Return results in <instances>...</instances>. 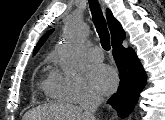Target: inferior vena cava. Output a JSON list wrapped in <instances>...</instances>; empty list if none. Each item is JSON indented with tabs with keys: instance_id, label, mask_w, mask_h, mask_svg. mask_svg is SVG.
<instances>
[{
	"instance_id": "602c4592",
	"label": "inferior vena cava",
	"mask_w": 165,
	"mask_h": 120,
	"mask_svg": "<svg viewBox=\"0 0 165 120\" xmlns=\"http://www.w3.org/2000/svg\"><path fill=\"white\" fill-rule=\"evenodd\" d=\"M103 102V97L90 93L87 95L86 99L81 104L82 120H95V112L99 105Z\"/></svg>"
}]
</instances>
